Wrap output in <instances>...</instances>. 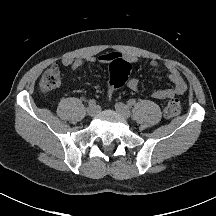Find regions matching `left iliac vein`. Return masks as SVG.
I'll use <instances>...</instances> for the list:
<instances>
[{"mask_svg":"<svg viewBox=\"0 0 216 216\" xmlns=\"http://www.w3.org/2000/svg\"><path fill=\"white\" fill-rule=\"evenodd\" d=\"M115 109L125 119H128L131 115L129 107L125 105L124 103H121V102L116 103Z\"/></svg>","mask_w":216,"mask_h":216,"instance_id":"obj_1","label":"left iliac vein"}]
</instances>
